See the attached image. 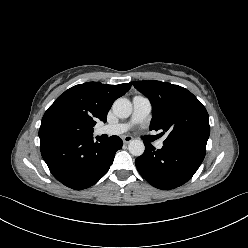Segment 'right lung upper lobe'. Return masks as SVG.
<instances>
[{
  "mask_svg": "<svg viewBox=\"0 0 248 248\" xmlns=\"http://www.w3.org/2000/svg\"><path fill=\"white\" fill-rule=\"evenodd\" d=\"M131 83L108 85L87 82L71 87L61 94L45 112L42 121L53 116H69L77 119L93 133L97 120L107 121V113L113 102L124 95Z\"/></svg>",
  "mask_w": 248,
  "mask_h": 248,
  "instance_id": "right-lung-upper-lobe-1",
  "label": "right lung upper lobe"
}]
</instances>
